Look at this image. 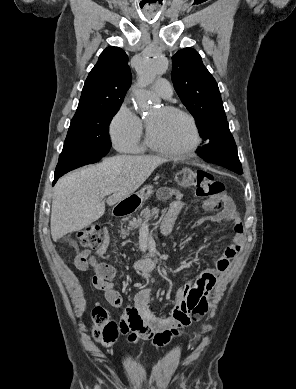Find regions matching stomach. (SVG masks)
Returning <instances> with one entry per match:
<instances>
[{"label":"stomach","instance_id":"1","mask_svg":"<svg viewBox=\"0 0 296 389\" xmlns=\"http://www.w3.org/2000/svg\"><path fill=\"white\" fill-rule=\"evenodd\" d=\"M152 194V187L147 186L144 187L140 192L136 194V196L142 201L147 199Z\"/></svg>","mask_w":296,"mask_h":389}]
</instances>
